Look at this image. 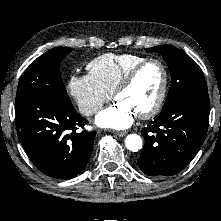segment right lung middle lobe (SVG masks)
Wrapping results in <instances>:
<instances>
[{
	"label": "right lung middle lobe",
	"mask_w": 221,
	"mask_h": 221,
	"mask_svg": "<svg viewBox=\"0 0 221 221\" xmlns=\"http://www.w3.org/2000/svg\"><path fill=\"white\" fill-rule=\"evenodd\" d=\"M71 48H53L36 59L20 78L15 105L36 96H48L72 104L63 86L59 66Z\"/></svg>",
	"instance_id": "obj_1"
}]
</instances>
